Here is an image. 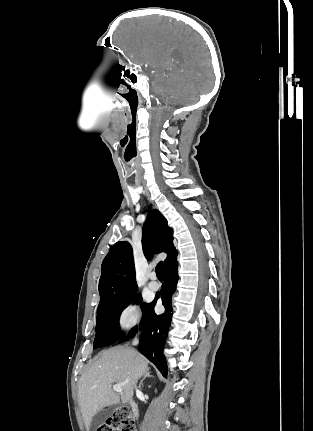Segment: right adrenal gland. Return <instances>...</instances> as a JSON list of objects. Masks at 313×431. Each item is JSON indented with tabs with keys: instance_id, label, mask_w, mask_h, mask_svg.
I'll use <instances>...</instances> for the list:
<instances>
[{
	"instance_id": "2a0ac1e0",
	"label": "right adrenal gland",
	"mask_w": 313,
	"mask_h": 431,
	"mask_svg": "<svg viewBox=\"0 0 313 431\" xmlns=\"http://www.w3.org/2000/svg\"><path fill=\"white\" fill-rule=\"evenodd\" d=\"M150 377H153L151 374H150V369L148 368L147 370H146V372L144 373V376H143V378L141 379V381H140V383H139V388L141 389V387H142V385H143V381L146 379V378H150Z\"/></svg>"
}]
</instances>
